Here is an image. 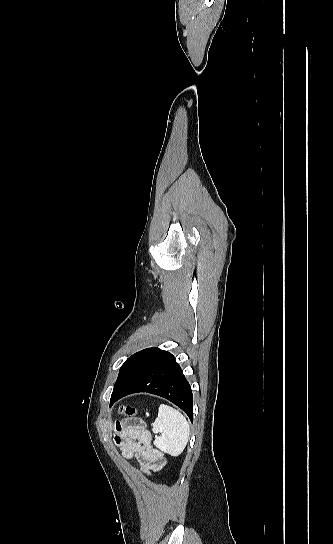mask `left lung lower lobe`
Listing matches in <instances>:
<instances>
[{
	"instance_id": "0a47b994",
	"label": "left lung lower lobe",
	"mask_w": 333,
	"mask_h": 544,
	"mask_svg": "<svg viewBox=\"0 0 333 544\" xmlns=\"http://www.w3.org/2000/svg\"><path fill=\"white\" fill-rule=\"evenodd\" d=\"M148 392L168 399L179 406L193 422V394L175 357L160 350L121 390L113 392L110 406L120 398Z\"/></svg>"
}]
</instances>
